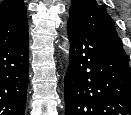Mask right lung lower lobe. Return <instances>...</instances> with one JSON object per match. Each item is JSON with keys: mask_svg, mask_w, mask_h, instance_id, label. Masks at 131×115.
<instances>
[{"mask_svg": "<svg viewBox=\"0 0 131 115\" xmlns=\"http://www.w3.org/2000/svg\"><path fill=\"white\" fill-rule=\"evenodd\" d=\"M28 66V35L0 49V115H24Z\"/></svg>", "mask_w": 131, "mask_h": 115, "instance_id": "obj_1", "label": "right lung lower lobe"}]
</instances>
